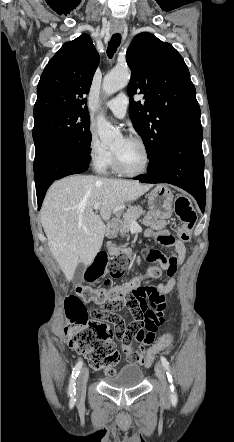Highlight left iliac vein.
<instances>
[{
    "label": "left iliac vein",
    "instance_id": "4c4485c4",
    "mask_svg": "<svg viewBox=\"0 0 234 442\" xmlns=\"http://www.w3.org/2000/svg\"><path fill=\"white\" fill-rule=\"evenodd\" d=\"M155 372L160 383V398L162 401L167 402L169 401L170 393L166 380L165 369L160 362L156 363Z\"/></svg>",
    "mask_w": 234,
    "mask_h": 442
}]
</instances>
